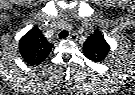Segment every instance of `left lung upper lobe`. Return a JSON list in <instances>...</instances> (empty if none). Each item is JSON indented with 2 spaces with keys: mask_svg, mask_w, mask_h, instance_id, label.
Segmentation results:
<instances>
[{
  "mask_svg": "<svg viewBox=\"0 0 135 95\" xmlns=\"http://www.w3.org/2000/svg\"><path fill=\"white\" fill-rule=\"evenodd\" d=\"M109 51L110 46L98 29L83 44L84 55L94 62L104 61Z\"/></svg>",
  "mask_w": 135,
  "mask_h": 95,
  "instance_id": "left-lung-upper-lobe-1",
  "label": "left lung upper lobe"
}]
</instances>
